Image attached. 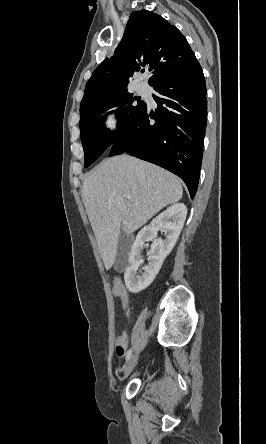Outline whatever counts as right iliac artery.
<instances>
[{
	"label": "right iliac artery",
	"instance_id": "82829eb1",
	"mask_svg": "<svg viewBox=\"0 0 266 444\" xmlns=\"http://www.w3.org/2000/svg\"><path fill=\"white\" fill-rule=\"evenodd\" d=\"M131 355H132V349L130 348L126 354V361H128L130 359Z\"/></svg>",
	"mask_w": 266,
	"mask_h": 444
}]
</instances>
